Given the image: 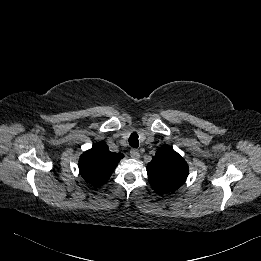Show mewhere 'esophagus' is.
<instances>
[{
  "mask_svg": "<svg viewBox=\"0 0 261 261\" xmlns=\"http://www.w3.org/2000/svg\"><path fill=\"white\" fill-rule=\"evenodd\" d=\"M130 156L133 158V159H138L140 158V153L137 149H131L130 150Z\"/></svg>",
  "mask_w": 261,
  "mask_h": 261,
  "instance_id": "esophagus-1",
  "label": "esophagus"
}]
</instances>
